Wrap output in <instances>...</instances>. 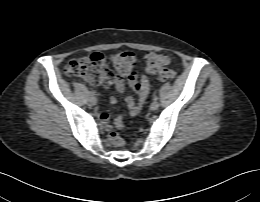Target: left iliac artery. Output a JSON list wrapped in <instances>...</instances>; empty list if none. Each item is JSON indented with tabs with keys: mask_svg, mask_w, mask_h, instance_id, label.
Here are the masks:
<instances>
[{
	"mask_svg": "<svg viewBox=\"0 0 260 202\" xmlns=\"http://www.w3.org/2000/svg\"><path fill=\"white\" fill-rule=\"evenodd\" d=\"M153 100L154 101H157L158 100V97L156 95L153 96Z\"/></svg>",
	"mask_w": 260,
	"mask_h": 202,
	"instance_id": "44dca946",
	"label": "left iliac artery"
}]
</instances>
